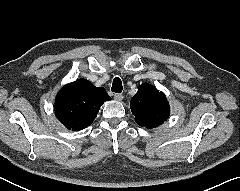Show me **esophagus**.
<instances>
[{
  "mask_svg": "<svg viewBox=\"0 0 240 191\" xmlns=\"http://www.w3.org/2000/svg\"><path fill=\"white\" fill-rule=\"evenodd\" d=\"M114 99L116 101H122L123 100V95L122 94H114Z\"/></svg>",
  "mask_w": 240,
  "mask_h": 191,
  "instance_id": "34e87169",
  "label": "esophagus"
}]
</instances>
